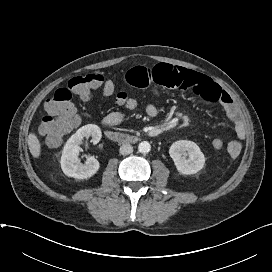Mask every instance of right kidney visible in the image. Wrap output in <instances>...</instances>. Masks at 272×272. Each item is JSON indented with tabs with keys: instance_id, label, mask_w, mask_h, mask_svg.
<instances>
[{
	"instance_id": "ca27d5eb",
	"label": "right kidney",
	"mask_w": 272,
	"mask_h": 272,
	"mask_svg": "<svg viewBox=\"0 0 272 272\" xmlns=\"http://www.w3.org/2000/svg\"><path fill=\"white\" fill-rule=\"evenodd\" d=\"M92 137L91 142L97 144L102 133L100 128L94 124H88L76 131L66 142L61 156V168L64 174L75 179H86L93 176L100 167L97 159L88 157L85 164L79 161L80 144L83 138Z\"/></svg>"
}]
</instances>
